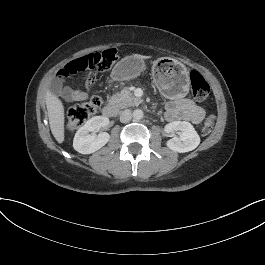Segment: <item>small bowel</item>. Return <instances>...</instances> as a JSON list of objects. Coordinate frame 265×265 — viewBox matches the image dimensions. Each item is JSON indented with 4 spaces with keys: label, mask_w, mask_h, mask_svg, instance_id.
I'll return each instance as SVG.
<instances>
[{
    "label": "small bowel",
    "mask_w": 265,
    "mask_h": 265,
    "mask_svg": "<svg viewBox=\"0 0 265 265\" xmlns=\"http://www.w3.org/2000/svg\"><path fill=\"white\" fill-rule=\"evenodd\" d=\"M95 81V74L90 73L86 80L87 89H91ZM61 95L67 102H78L86 99V92L80 89L64 88ZM165 117L170 121H190L198 124L205 117L204 109L189 98H177L166 105Z\"/></svg>",
    "instance_id": "small-bowel-1"
}]
</instances>
